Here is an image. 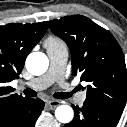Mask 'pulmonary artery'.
Instances as JSON below:
<instances>
[{"label": "pulmonary artery", "instance_id": "e3ab8cb5", "mask_svg": "<svg viewBox=\"0 0 127 127\" xmlns=\"http://www.w3.org/2000/svg\"><path fill=\"white\" fill-rule=\"evenodd\" d=\"M50 66L48 71L39 77H36L25 85L34 90H42L49 87L55 81H58L61 88L67 90L69 84L63 80V74L68 59V51L65 47L47 49ZM86 99V93L81 92L76 95L78 103L82 104Z\"/></svg>", "mask_w": 127, "mask_h": 127}]
</instances>
